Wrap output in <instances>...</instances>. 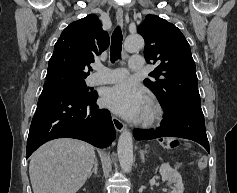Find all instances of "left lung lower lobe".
Instances as JSON below:
<instances>
[{
  "mask_svg": "<svg viewBox=\"0 0 237 193\" xmlns=\"http://www.w3.org/2000/svg\"><path fill=\"white\" fill-rule=\"evenodd\" d=\"M133 133L137 140L161 137L185 138L201 144L209 152V143L201 106H185L176 112L167 111L159 129H135Z\"/></svg>",
  "mask_w": 237,
  "mask_h": 193,
  "instance_id": "obj_1",
  "label": "left lung lower lobe"
}]
</instances>
